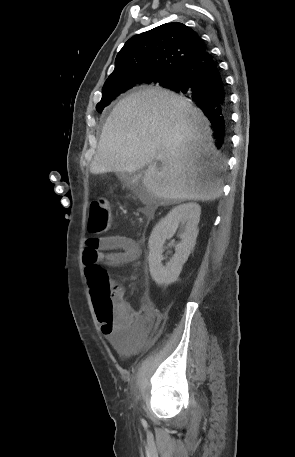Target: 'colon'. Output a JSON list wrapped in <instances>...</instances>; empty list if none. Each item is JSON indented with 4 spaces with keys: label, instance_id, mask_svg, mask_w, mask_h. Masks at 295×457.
Wrapping results in <instances>:
<instances>
[{
    "label": "colon",
    "instance_id": "obj_1",
    "mask_svg": "<svg viewBox=\"0 0 295 457\" xmlns=\"http://www.w3.org/2000/svg\"><path fill=\"white\" fill-rule=\"evenodd\" d=\"M112 225V214L106 199L93 200L89 208L88 228L95 234L105 233ZM85 276L99 320L110 322L117 313L118 298L116 286L112 284L104 269L97 262L85 267Z\"/></svg>",
    "mask_w": 295,
    "mask_h": 457
}]
</instances>
